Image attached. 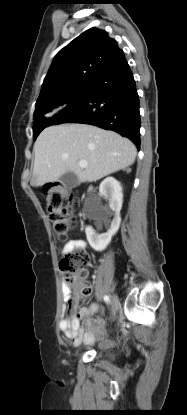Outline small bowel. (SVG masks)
<instances>
[{
    "label": "small bowel",
    "instance_id": "small-bowel-1",
    "mask_svg": "<svg viewBox=\"0 0 187 415\" xmlns=\"http://www.w3.org/2000/svg\"><path fill=\"white\" fill-rule=\"evenodd\" d=\"M85 247L86 243L83 240H71L65 244L62 252L68 253L74 249H83ZM63 293L69 316L62 318L60 322L62 332L72 341L74 347L79 346L82 342L87 345L93 344L95 336L92 331L94 324L101 322V306L97 303H92L89 306H82L78 309V299L70 297L69 288L65 284L63 285ZM94 316H97V318H94ZM99 337H102V335Z\"/></svg>",
    "mask_w": 187,
    "mask_h": 415
}]
</instances>
